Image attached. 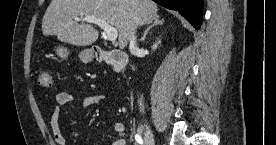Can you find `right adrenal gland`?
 Masks as SVG:
<instances>
[{
	"label": "right adrenal gland",
	"instance_id": "right-adrenal-gland-1",
	"mask_svg": "<svg viewBox=\"0 0 276 145\" xmlns=\"http://www.w3.org/2000/svg\"><path fill=\"white\" fill-rule=\"evenodd\" d=\"M163 22H164V20L160 19L159 17H155L153 20L149 21L147 23V25L148 24H151V25H149L148 28L145 30V32H144L143 36L141 37L140 41H145L146 36H147L148 32L150 31V29L154 26L162 25Z\"/></svg>",
	"mask_w": 276,
	"mask_h": 145
}]
</instances>
